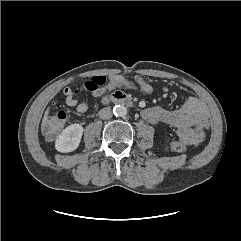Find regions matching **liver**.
<instances>
[{"mask_svg":"<svg viewBox=\"0 0 241 241\" xmlns=\"http://www.w3.org/2000/svg\"><path fill=\"white\" fill-rule=\"evenodd\" d=\"M49 109H50V108L48 107V109H47L46 112H45L44 118H43V120H42V128H45L46 123H47V121H48Z\"/></svg>","mask_w":241,"mask_h":241,"instance_id":"obj_1","label":"liver"}]
</instances>
